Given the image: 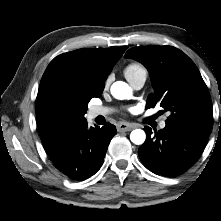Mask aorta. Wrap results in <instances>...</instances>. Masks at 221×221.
<instances>
[{
    "instance_id": "aorta-1",
    "label": "aorta",
    "mask_w": 221,
    "mask_h": 221,
    "mask_svg": "<svg viewBox=\"0 0 221 221\" xmlns=\"http://www.w3.org/2000/svg\"><path fill=\"white\" fill-rule=\"evenodd\" d=\"M111 94L119 100L131 99L132 89L127 83L117 81L111 86ZM130 140L136 145H142L146 140V134L141 129H135L130 134Z\"/></svg>"
}]
</instances>
